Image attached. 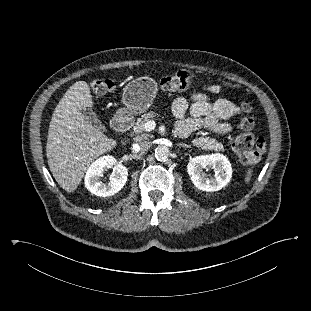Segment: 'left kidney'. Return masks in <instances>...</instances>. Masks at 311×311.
Instances as JSON below:
<instances>
[{
	"instance_id": "obj_1",
	"label": "left kidney",
	"mask_w": 311,
	"mask_h": 311,
	"mask_svg": "<svg viewBox=\"0 0 311 311\" xmlns=\"http://www.w3.org/2000/svg\"><path fill=\"white\" fill-rule=\"evenodd\" d=\"M203 169H213L214 178L204 174ZM193 184L200 190L214 192L225 187L231 180V164L222 154L196 156L187 165Z\"/></svg>"
}]
</instances>
